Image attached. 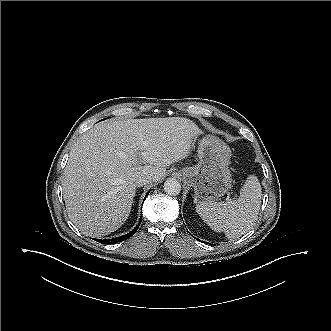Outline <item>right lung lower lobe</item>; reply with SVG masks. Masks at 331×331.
Wrapping results in <instances>:
<instances>
[{"instance_id": "right-lung-lower-lobe-1", "label": "right lung lower lobe", "mask_w": 331, "mask_h": 331, "mask_svg": "<svg viewBox=\"0 0 331 331\" xmlns=\"http://www.w3.org/2000/svg\"><path fill=\"white\" fill-rule=\"evenodd\" d=\"M150 192V191H149ZM149 192L146 194L145 198L148 196ZM144 198V200H145ZM141 220H142V217H141ZM140 223L141 221L139 222V224L128 234L126 235H123L121 237H117V238H112V239H108V240H98L96 239V241L100 242V243H103V244H114V243H118V242H121L123 240H126L128 238H130L132 235H134V233L138 230L139 226H140Z\"/></svg>"}]
</instances>
